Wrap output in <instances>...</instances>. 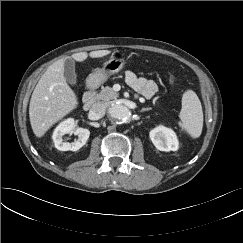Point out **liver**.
Returning a JSON list of instances; mask_svg holds the SVG:
<instances>
[{"mask_svg": "<svg viewBox=\"0 0 243 243\" xmlns=\"http://www.w3.org/2000/svg\"><path fill=\"white\" fill-rule=\"evenodd\" d=\"M109 50L79 52L71 55L78 62L91 58H101ZM64 59L50 65L38 81L29 104V118L33 133L42 137L55 123L77 108L78 98L66 82Z\"/></svg>", "mask_w": 243, "mask_h": 243, "instance_id": "1", "label": "liver"}]
</instances>
